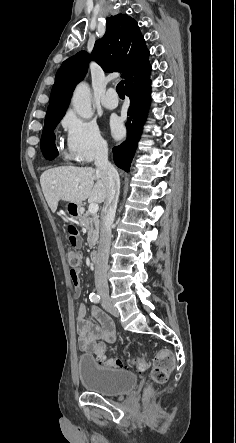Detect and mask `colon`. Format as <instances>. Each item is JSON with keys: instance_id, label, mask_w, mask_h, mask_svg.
<instances>
[{"instance_id": "1", "label": "colon", "mask_w": 236, "mask_h": 443, "mask_svg": "<svg viewBox=\"0 0 236 443\" xmlns=\"http://www.w3.org/2000/svg\"><path fill=\"white\" fill-rule=\"evenodd\" d=\"M68 240L72 244L79 241V233L73 224H69L66 228ZM66 257L69 266L71 267L70 276L73 283L78 281L77 269L80 265V253L75 249H69L66 252ZM92 353L97 360L108 367L126 368L121 358L116 356H108L106 354L105 345L97 343ZM174 365V357L169 351H161L153 359L152 370L150 373V380L155 384H163L167 381L170 371ZM132 366L138 371H145L148 368V360L145 355H139L133 358Z\"/></svg>"}]
</instances>
